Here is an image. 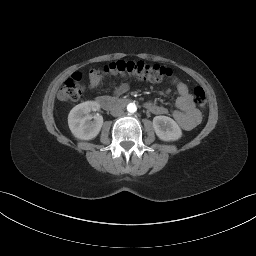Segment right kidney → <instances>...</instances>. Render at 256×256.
<instances>
[{
	"instance_id": "obj_1",
	"label": "right kidney",
	"mask_w": 256,
	"mask_h": 256,
	"mask_svg": "<svg viewBox=\"0 0 256 256\" xmlns=\"http://www.w3.org/2000/svg\"><path fill=\"white\" fill-rule=\"evenodd\" d=\"M100 105L95 101H86L76 105L68 115V125L72 134L81 140L95 138L103 125V117L100 114L90 115L91 111H97ZM93 119V120H92Z\"/></svg>"
}]
</instances>
